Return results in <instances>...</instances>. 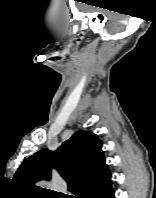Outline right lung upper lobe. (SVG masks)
Masks as SVG:
<instances>
[{"label":"right lung upper lobe","instance_id":"1","mask_svg":"<svg viewBox=\"0 0 156 198\" xmlns=\"http://www.w3.org/2000/svg\"><path fill=\"white\" fill-rule=\"evenodd\" d=\"M101 141L88 131H78L56 151L42 149L25 159L14 179L28 187L49 180L54 167L67 181L68 190L80 198H98L111 187V174L105 163Z\"/></svg>","mask_w":156,"mask_h":198}]
</instances>
